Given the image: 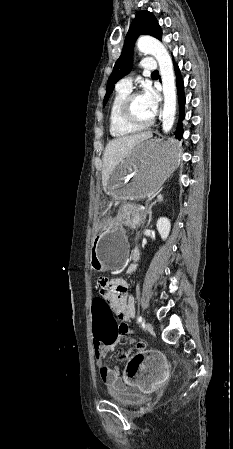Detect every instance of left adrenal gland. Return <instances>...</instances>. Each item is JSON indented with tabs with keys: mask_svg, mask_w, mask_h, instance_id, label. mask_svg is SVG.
Listing matches in <instances>:
<instances>
[{
	"mask_svg": "<svg viewBox=\"0 0 233 449\" xmlns=\"http://www.w3.org/2000/svg\"><path fill=\"white\" fill-rule=\"evenodd\" d=\"M162 201H163V196H162L161 194H159V195L157 196V200H155L153 203H151V204L146 208V211H145V212L149 214V220H148L147 225L150 224L151 219H152V208H153V206H154L156 203L162 202Z\"/></svg>",
	"mask_w": 233,
	"mask_h": 449,
	"instance_id": "1",
	"label": "left adrenal gland"
}]
</instances>
